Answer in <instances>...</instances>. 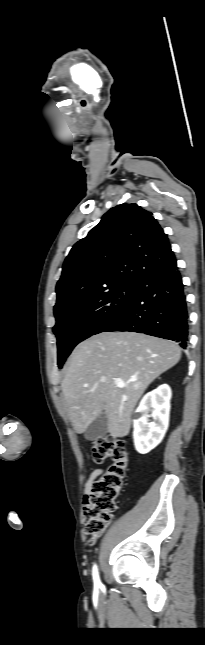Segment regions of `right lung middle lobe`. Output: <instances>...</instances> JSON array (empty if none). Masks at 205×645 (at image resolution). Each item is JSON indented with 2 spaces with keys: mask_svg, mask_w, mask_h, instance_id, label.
<instances>
[{
  "mask_svg": "<svg viewBox=\"0 0 205 645\" xmlns=\"http://www.w3.org/2000/svg\"><path fill=\"white\" fill-rule=\"evenodd\" d=\"M134 295L135 284L121 285L83 297L56 313L53 332L57 337L59 368L79 342L114 322L132 304Z\"/></svg>",
  "mask_w": 205,
  "mask_h": 645,
  "instance_id": "dd1d6c3e",
  "label": "right lung middle lobe"
}]
</instances>
